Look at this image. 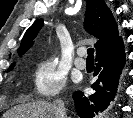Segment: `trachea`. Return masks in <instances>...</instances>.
Masks as SVG:
<instances>
[{
    "label": "trachea",
    "instance_id": "trachea-1",
    "mask_svg": "<svg viewBox=\"0 0 133 118\" xmlns=\"http://www.w3.org/2000/svg\"><path fill=\"white\" fill-rule=\"evenodd\" d=\"M87 54H88L87 59L88 60H93L94 59V48H89L87 50Z\"/></svg>",
    "mask_w": 133,
    "mask_h": 118
}]
</instances>
